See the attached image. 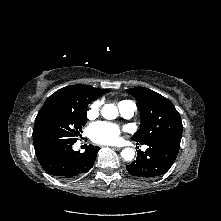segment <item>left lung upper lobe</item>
<instances>
[{
  "label": "left lung upper lobe",
  "instance_id": "5c2ea615",
  "mask_svg": "<svg viewBox=\"0 0 221 221\" xmlns=\"http://www.w3.org/2000/svg\"><path fill=\"white\" fill-rule=\"evenodd\" d=\"M126 91L136 98L141 110V125L132 136L133 141L143 144L157 138L181 139L180 114L167 98L145 87Z\"/></svg>",
  "mask_w": 221,
  "mask_h": 221
}]
</instances>
